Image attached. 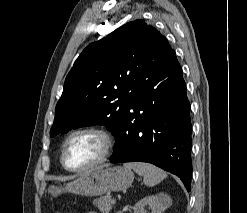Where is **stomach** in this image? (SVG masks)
I'll return each mask as SVG.
<instances>
[{
    "label": "stomach",
    "mask_w": 247,
    "mask_h": 213,
    "mask_svg": "<svg viewBox=\"0 0 247 213\" xmlns=\"http://www.w3.org/2000/svg\"><path fill=\"white\" fill-rule=\"evenodd\" d=\"M134 180L131 170L122 166L97 168L83 173L64 187L51 184L48 193L54 197L63 192L82 196H101L112 191L127 189Z\"/></svg>",
    "instance_id": "0dacf381"
}]
</instances>
